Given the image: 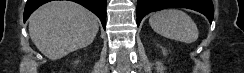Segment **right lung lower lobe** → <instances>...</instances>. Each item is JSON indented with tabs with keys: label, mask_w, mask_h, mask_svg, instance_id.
<instances>
[{
	"label": "right lung lower lobe",
	"mask_w": 244,
	"mask_h": 73,
	"mask_svg": "<svg viewBox=\"0 0 244 73\" xmlns=\"http://www.w3.org/2000/svg\"><path fill=\"white\" fill-rule=\"evenodd\" d=\"M52 0H27L24 10V22L42 4ZM79 3L96 14L104 29L106 26V0H70Z\"/></svg>",
	"instance_id": "98d812e1"
}]
</instances>
